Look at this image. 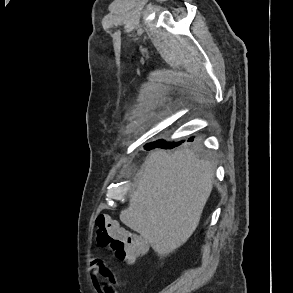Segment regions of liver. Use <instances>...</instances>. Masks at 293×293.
<instances>
[{
    "instance_id": "1",
    "label": "liver",
    "mask_w": 293,
    "mask_h": 293,
    "mask_svg": "<svg viewBox=\"0 0 293 293\" xmlns=\"http://www.w3.org/2000/svg\"><path fill=\"white\" fill-rule=\"evenodd\" d=\"M213 177V164L198 159L187 148L172 154L155 150L120 219L148 241L155 252L168 255L197 228Z\"/></svg>"
}]
</instances>
